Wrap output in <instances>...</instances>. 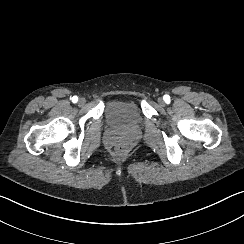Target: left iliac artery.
<instances>
[{
	"instance_id": "left-iliac-artery-1",
	"label": "left iliac artery",
	"mask_w": 244,
	"mask_h": 244,
	"mask_svg": "<svg viewBox=\"0 0 244 244\" xmlns=\"http://www.w3.org/2000/svg\"><path fill=\"white\" fill-rule=\"evenodd\" d=\"M164 100H165L166 103H169V101H170V96H169V95H165V96H164Z\"/></svg>"
}]
</instances>
